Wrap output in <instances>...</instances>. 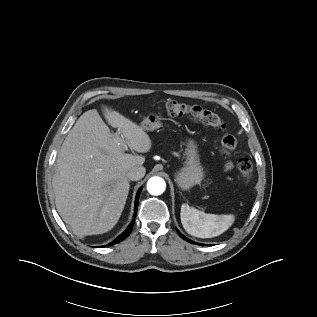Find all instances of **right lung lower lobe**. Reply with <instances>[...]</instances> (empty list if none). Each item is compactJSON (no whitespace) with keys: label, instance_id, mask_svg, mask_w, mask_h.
Wrapping results in <instances>:
<instances>
[{"label":"right lung lower lobe","instance_id":"1","mask_svg":"<svg viewBox=\"0 0 317 317\" xmlns=\"http://www.w3.org/2000/svg\"><path fill=\"white\" fill-rule=\"evenodd\" d=\"M140 193H141V188L138 190L137 195H136V199H135V215L137 213V207H138V201H139ZM134 221L135 220H133V222L130 224V226L121 235H119L113 242H111L110 244H108L106 246H110V245L116 244L118 242H121L125 238H127L128 235L130 234L131 230H132V227L134 225Z\"/></svg>","mask_w":317,"mask_h":317}]
</instances>
